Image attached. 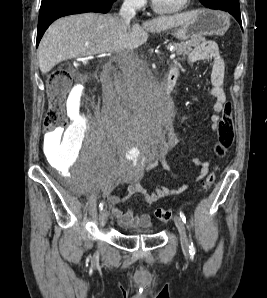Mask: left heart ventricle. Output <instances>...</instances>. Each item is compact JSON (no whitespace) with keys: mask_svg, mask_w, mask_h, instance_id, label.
I'll use <instances>...</instances> for the list:
<instances>
[{"mask_svg":"<svg viewBox=\"0 0 267 298\" xmlns=\"http://www.w3.org/2000/svg\"><path fill=\"white\" fill-rule=\"evenodd\" d=\"M155 3L163 10H175L179 8L184 0H154Z\"/></svg>","mask_w":267,"mask_h":298,"instance_id":"1","label":"left heart ventricle"}]
</instances>
